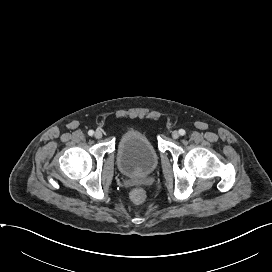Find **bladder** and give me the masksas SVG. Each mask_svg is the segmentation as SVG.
I'll list each match as a JSON object with an SVG mask.
<instances>
[{"label":"bladder","mask_w":272,"mask_h":272,"mask_svg":"<svg viewBox=\"0 0 272 272\" xmlns=\"http://www.w3.org/2000/svg\"><path fill=\"white\" fill-rule=\"evenodd\" d=\"M117 163L124 175H147L156 168L158 153L144 133L129 130L121 136L118 142Z\"/></svg>","instance_id":"31cf9c89"}]
</instances>
